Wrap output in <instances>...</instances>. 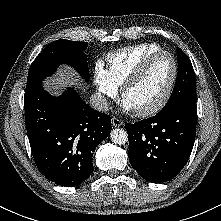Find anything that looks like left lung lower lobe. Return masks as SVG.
<instances>
[{"label":"left lung lower lobe","instance_id":"0a47b994","mask_svg":"<svg viewBox=\"0 0 221 221\" xmlns=\"http://www.w3.org/2000/svg\"><path fill=\"white\" fill-rule=\"evenodd\" d=\"M196 122V102H183L166 112L126 124L131 166L150 182L173 179L190 157Z\"/></svg>","mask_w":221,"mask_h":221}]
</instances>
